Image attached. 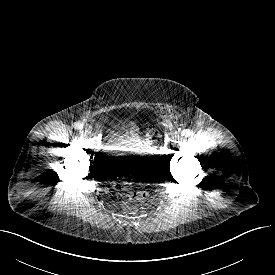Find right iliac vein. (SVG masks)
Here are the masks:
<instances>
[{
	"label": "right iliac vein",
	"instance_id": "1",
	"mask_svg": "<svg viewBox=\"0 0 275 275\" xmlns=\"http://www.w3.org/2000/svg\"><path fill=\"white\" fill-rule=\"evenodd\" d=\"M83 130L86 131V132H90V131H91V127L88 126V125H85V126L83 127Z\"/></svg>",
	"mask_w": 275,
	"mask_h": 275
}]
</instances>
